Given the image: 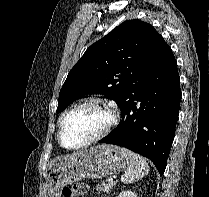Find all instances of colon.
I'll use <instances>...</instances> for the list:
<instances>
[{
    "instance_id": "1",
    "label": "colon",
    "mask_w": 209,
    "mask_h": 197,
    "mask_svg": "<svg viewBox=\"0 0 209 197\" xmlns=\"http://www.w3.org/2000/svg\"><path fill=\"white\" fill-rule=\"evenodd\" d=\"M88 192V185L83 182L75 183L70 187H64L63 197H81Z\"/></svg>"
}]
</instances>
